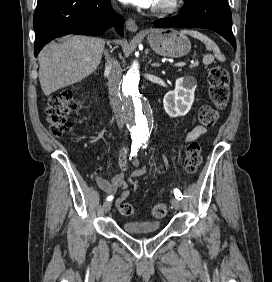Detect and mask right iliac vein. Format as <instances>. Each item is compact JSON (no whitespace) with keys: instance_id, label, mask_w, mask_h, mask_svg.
I'll use <instances>...</instances> for the list:
<instances>
[{"instance_id":"right-iliac-vein-1","label":"right iliac vein","mask_w":272,"mask_h":282,"mask_svg":"<svg viewBox=\"0 0 272 282\" xmlns=\"http://www.w3.org/2000/svg\"><path fill=\"white\" fill-rule=\"evenodd\" d=\"M111 205H112L111 201H105V202L103 203V210H104L106 213L109 212L110 209H111Z\"/></svg>"}]
</instances>
